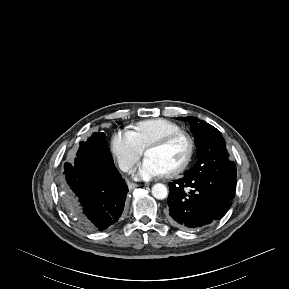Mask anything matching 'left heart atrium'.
Wrapping results in <instances>:
<instances>
[{"mask_svg": "<svg viewBox=\"0 0 289 289\" xmlns=\"http://www.w3.org/2000/svg\"><path fill=\"white\" fill-rule=\"evenodd\" d=\"M166 172L162 166L152 158H145L140 164L136 177L141 180H150L153 178L161 177L165 175Z\"/></svg>", "mask_w": 289, "mask_h": 289, "instance_id": "obj_1", "label": "left heart atrium"}]
</instances>
